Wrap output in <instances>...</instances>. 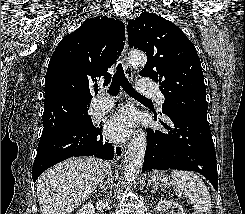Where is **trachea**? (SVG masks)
Segmentation results:
<instances>
[{"label":"trachea","instance_id":"obj_1","mask_svg":"<svg viewBox=\"0 0 245 214\" xmlns=\"http://www.w3.org/2000/svg\"><path fill=\"white\" fill-rule=\"evenodd\" d=\"M120 87L123 88V90L130 95L131 97H135V98H140V99H146L148 100V98L142 96L141 94H139L133 87L132 85L129 83L128 79L126 78L122 65L119 63L116 69V72L113 76L112 82L110 84L108 93L112 96H115L118 94Z\"/></svg>","mask_w":245,"mask_h":214}]
</instances>
